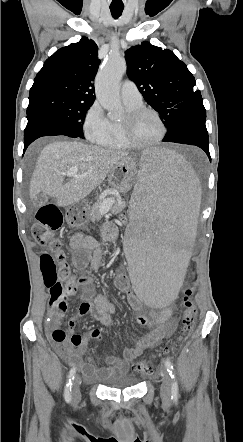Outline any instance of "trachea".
Here are the masks:
<instances>
[{
  "mask_svg": "<svg viewBox=\"0 0 243 442\" xmlns=\"http://www.w3.org/2000/svg\"><path fill=\"white\" fill-rule=\"evenodd\" d=\"M124 6H110L112 17L117 19L121 16Z\"/></svg>",
  "mask_w": 243,
  "mask_h": 442,
  "instance_id": "obj_1",
  "label": "trachea"
}]
</instances>
